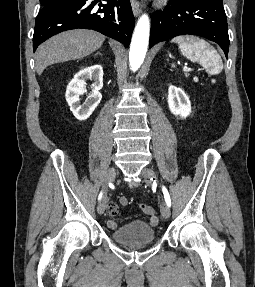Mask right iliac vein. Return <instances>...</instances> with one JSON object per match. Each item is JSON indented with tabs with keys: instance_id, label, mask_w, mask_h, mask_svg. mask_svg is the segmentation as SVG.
Instances as JSON below:
<instances>
[{
	"instance_id": "right-iliac-vein-1",
	"label": "right iliac vein",
	"mask_w": 255,
	"mask_h": 287,
	"mask_svg": "<svg viewBox=\"0 0 255 287\" xmlns=\"http://www.w3.org/2000/svg\"><path fill=\"white\" fill-rule=\"evenodd\" d=\"M116 171L115 168L111 167L106 173L105 179H104V195L100 199L97 211L101 215L104 213L106 206H107V190L110 183H112L115 179Z\"/></svg>"
}]
</instances>
